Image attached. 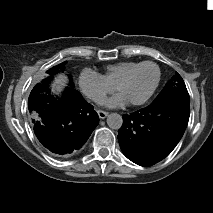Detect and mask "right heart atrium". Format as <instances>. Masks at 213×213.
I'll return each mask as SVG.
<instances>
[{
    "mask_svg": "<svg viewBox=\"0 0 213 213\" xmlns=\"http://www.w3.org/2000/svg\"><path fill=\"white\" fill-rule=\"evenodd\" d=\"M79 86L82 92L92 101L102 103L106 96L113 92L114 87L111 86L102 75L85 69L79 76Z\"/></svg>",
    "mask_w": 213,
    "mask_h": 213,
    "instance_id": "right-heart-atrium-1",
    "label": "right heart atrium"
}]
</instances>
